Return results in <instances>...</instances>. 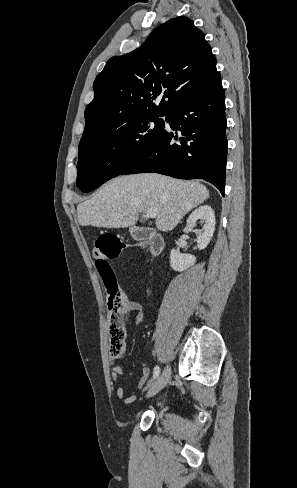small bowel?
Instances as JSON below:
<instances>
[{
    "mask_svg": "<svg viewBox=\"0 0 297 488\" xmlns=\"http://www.w3.org/2000/svg\"><path fill=\"white\" fill-rule=\"evenodd\" d=\"M129 311L135 313V321L136 323L140 324L143 322V307L140 303L136 301H129ZM123 373V369L121 366L117 365L116 360H112L111 365V379L115 384V391L117 397L124 403V404H131L136 399V395H125L122 386L119 383V377ZM150 376V369L148 367H143L141 372V377L138 382V389H145L148 387V380Z\"/></svg>",
    "mask_w": 297,
    "mask_h": 488,
    "instance_id": "small-bowel-1",
    "label": "small bowel"
}]
</instances>
